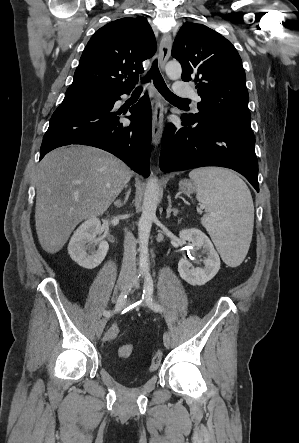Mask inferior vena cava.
<instances>
[{"instance_id": "602c4592", "label": "inferior vena cava", "mask_w": 299, "mask_h": 443, "mask_svg": "<svg viewBox=\"0 0 299 443\" xmlns=\"http://www.w3.org/2000/svg\"><path fill=\"white\" fill-rule=\"evenodd\" d=\"M136 270V241L132 233L128 232L124 238V254L120 276H130Z\"/></svg>"}]
</instances>
